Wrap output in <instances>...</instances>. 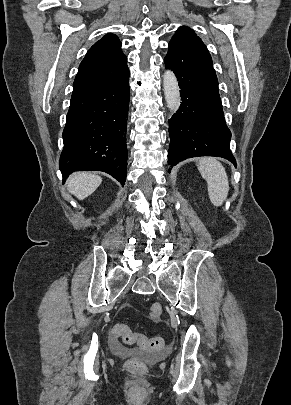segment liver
<instances>
[{
  "mask_svg": "<svg viewBox=\"0 0 291 405\" xmlns=\"http://www.w3.org/2000/svg\"><path fill=\"white\" fill-rule=\"evenodd\" d=\"M102 178L89 172L71 175L67 181L68 190L79 200L90 196L101 184Z\"/></svg>",
  "mask_w": 291,
  "mask_h": 405,
  "instance_id": "liver-1",
  "label": "liver"
}]
</instances>
